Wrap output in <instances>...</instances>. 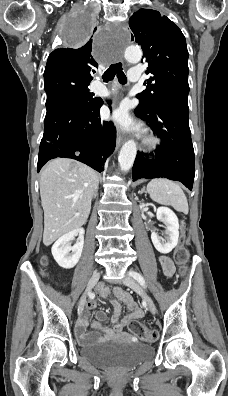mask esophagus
Here are the masks:
<instances>
[{"instance_id": "obj_1", "label": "esophagus", "mask_w": 228, "mask_h": 396, "mask_svg": "<svg viewBox=\"0 0 228 396\" xmlns=\"http://www.w3.org/2000/svg\"><path fill=\"white\" fill-rule=\"evenodd\" d=\"M123 142H124V136L121 133H118L116 139V147L119 148Z\"/></svg>"}]
</instances>
